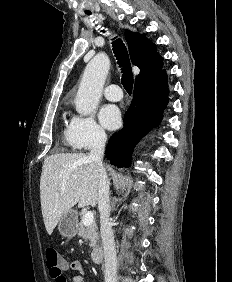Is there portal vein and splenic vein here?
Listing matches in <instances>:
<instances>
[{
	"label": "portal vein and splenic vein",
	"instance_id": "portal-vein-and-splenic-vein-1",
	"mask_svg": "<svg viewBox=\"0 0 232 282\" xmlns=\"http://www.w3.org/2000/svg\"><path fill=\"white\" fill-rule=\"evenodd\" d=\"M94 221V215L91 211H87L83 217H82V222L84 225H90Z\"/></svg>",
	"mask_w": 232,
	"mask_h": 282
}]
</instances>
